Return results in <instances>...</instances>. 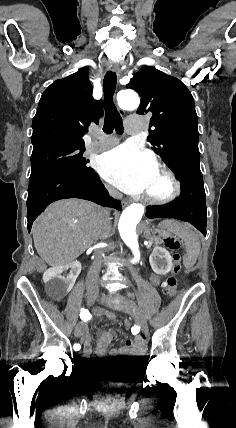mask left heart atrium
<instances>
[{
  "mask_svg": "<svg viewBox=\"0 0 236 428\" xmlns=\"http://www.w3.org/2000/svg\"><path fill=\"white\" fill-rule=\"evenodd\" d=\"M155 165V160L144 151L120 145L102 157L99 171L105 180L123 192L142 194Z\"/></svg>",
  "mask_w": 236,
  "mask_h": 428,
  "instance_id": "39dd6f15",
  "label": "left heart atrium"
}]
</instances>
